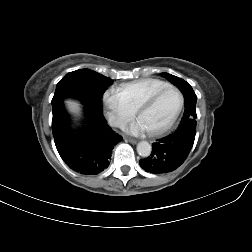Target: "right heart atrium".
<instances>
[{"label":"right heart atrium","mask_w":252,"mask_h":252,"mask_svg":"<svg viewBox=\"0 0 252 252\" xmlns=\"http://www.w3.org/2000/svg\"><path fill=\"white\" fill-rule=\"evenodd\" d=\"M103 101L108 109L107 117L112 126L121 127L135 114V109L117 89L107 90Z\"/></svg>","instance_id":"obj_1"}]
</instances>
